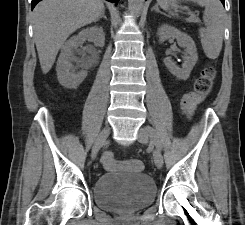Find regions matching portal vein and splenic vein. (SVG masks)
<instances>
[{
  "label": "portal vein and splenic vein",
  "instance_id": "18ae733b",
  "mask_svg": "<svg viewBox=\"0 0 245 225\" xmlns=\"http://www.w3.org/2000/svg\"><path fill=\"white\" fill-rule=\"evenodd\" d=\"M188 13L190 15V18L188 19V21H195L196 20L195 16L191 12H188Z\"/></svg>",
  "mask_w": 245,
  "mask_h": 225
}]
</instances>
